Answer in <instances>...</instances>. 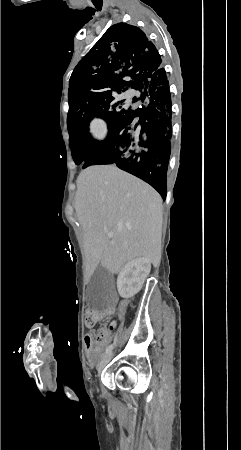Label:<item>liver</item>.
I'll use <instances>...</instances> for the list:
<instances>
[{
	"label": "liver",
	"mask_w": 241,
	"mask_h": 450,
	"mask_svg": "<svg viewBox=\"0 0 241 450\" xmlns=\"http://www.w3.org/2000/svg\"><path fill=\"white\" fill-rule=\"evenodd\" d=\"M75 210L84 232L88 276L99 264L118 274L138 256L159 266L162 198L149 184L116 166H90L77 178Z\"/></svg>",
	"instance_id": "1"
}]
</instances>
